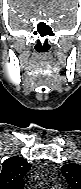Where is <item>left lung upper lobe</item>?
<instances>
[{
    "mask_svg": "<svg viewBox=\"0 0 81 189\" xmlns=\"http://www.w3.org/2000/svg\"><path fill=\"white\" fill-rule=\"evenodd\" d=\"M61 171L72 189H81V165L69 163L64 165Z\"/></svg>",
    "mask_w": 81,
    "mask_h": 189,
    "instance_id": "left-lung-upper-lobe-1",
    "label": "left lung upper lobe"
}]
</instances>
